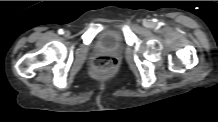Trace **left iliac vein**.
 I'll list each match as a JSON object with an SVG mask.
<instances>
[{
	"mask_svg": "<svg viewBox=\"0 0 218 122\" xmlns=\"http://www.w3.org/2000/svg\"><path fill=\"white\" fill-rule=\"evenodd\" d=\"M151 25H152L151 23H147L146 27H151Z\"/></svg>",
	"mask_w": 218,
	"mask_h": 122,
	"instance_id": "4c4485c4",
	"label": "left iliac vein"
}]
</instances>
